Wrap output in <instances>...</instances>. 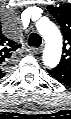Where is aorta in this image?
Returning <instances> with one entry per match:
<instances>
[{
  "mask_svg": "<svg viewBox=\"0 0 71 119\" xmlns=\"http://www.w3.org/2000/svg\"><path fill=\"white\" fill-rule=\"evenodd\" d=\"M37 28L43 36L46 47L42 56L47 67L53 68L58 65L61 58L62 36L57 26L48 19H41Z\"/></svg>",
  "mask_w": 71,
  "mask_h": 119,
  "instance_id": "aorta-1",
  "label": "aorta"
}]
</instances>
